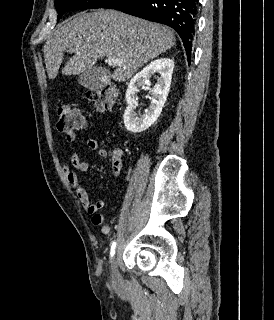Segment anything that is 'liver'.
Here are the masks:
<instances>
[{
    "label": "liver",
    "instance_id": "obj_1",
    "mask_svg": "<svg viewBox=\"0 0 274 320\" xmlns=\"http://www.w3.org/2000/svg\"><path fill=\"white\" fill-rule=\"evenodd\" d=\"M175 36L167 26L147 22L116 10L80 12L64 20L43 48L49 80L56 78L64 54H74L62 74L78 76L92 70L98 58L122 62L112 76L126 82L144 64L175 46Z\"/></svg>",
    "mask_w": 274,
    "mask_h": 320
}]
</instances>
